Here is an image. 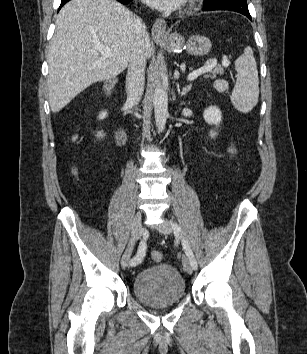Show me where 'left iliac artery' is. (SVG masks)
Returning <instances> with one entry per match:
<instances>
[{
    "instance_id": "44dca946",
    "label": "left iliac artery",
    "mask_w": 307,
    "mask_h": 354,
    "mask_svg": "<svg viewBox=\"0 0 307 354\" xmlns=\"http://www.w3.org/2000/svg\"><path fill=\"white\" fill-rule=\"evenodd\" d=\"M170 224H171V226H172V228L174 230V233L181 235L183 249H184L186 255L188 256V258L190 260L192 268L194 270H196L198 268L197 261L195 259V256H194L193 252H192V249L190 248V245H189L188 241L184 238V236L182 234L181 227L174 221H170Z\"/></svg>"
}]
</instances>
